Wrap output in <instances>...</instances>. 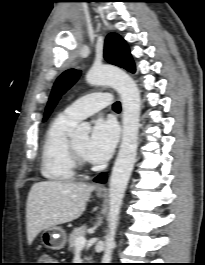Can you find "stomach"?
Masks as SVG:
<instances>
[{
	"label": "stomach",
	"mask_w": 205,
	"mask_h": 265,
	"mask_svg": "<svg viewBox=\"0 0 205 265\" xmlns=\"http://www.w3.org/2000/svg\"><path fill=\"white\" fill-rule=\"evenodd\" d=\"M98 197H102V193H97ZM66 233L65 231L60 227H51L46 229L42 233V241L43 244L52 250H60L64 248L66 244Z\"/></svg>",
	"instance_id": "stomach-1"
}]
</instances>
